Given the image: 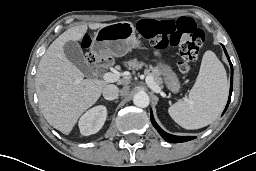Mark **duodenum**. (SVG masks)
Segmentation results:
<instances>
[{"instance_id":"duodenum-1","label":"duodenum","mask_w":256,"mask_h":171,"mask_svg":"<svg viewBox=\"0 0 256 171\" xmlns=\"http://www.w3.org/2000/svg\"><path fill=\"white\" fill-rule=\"evenodd\" d=\"M96 66L106 67L110 64V59L108 58H97L95 60Z\"/></svg>"}]
</instances>
